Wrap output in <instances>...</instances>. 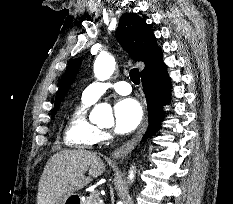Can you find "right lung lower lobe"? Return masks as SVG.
<instances>
[{"instance_id":"obj_1","label":"right lung lower lobe","mask_w":233,"mask_h":204,"mask_svg":"<svg viewBox=\"0 0 233 204\" xmlns=\"http://www.w3.org/2000/svg\"><path fill=\"white\" fill-rule=\"evenodd\" d=\"M141 81L147 100L149 127L143 136V140L155 134L164 118L162 106L170 100V78L166 65L141 76Z\"/></svg>"}]
</instances>
